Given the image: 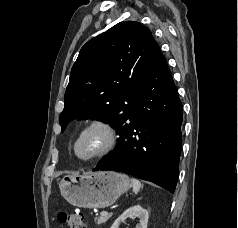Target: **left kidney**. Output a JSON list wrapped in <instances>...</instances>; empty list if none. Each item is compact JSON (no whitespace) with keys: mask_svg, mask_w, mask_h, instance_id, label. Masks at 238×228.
I'll list each match as a JSON object with an SVG mask.
<instances>
[{"mask_svg":"<svg viewBox=\"0 0 238 228\" xmlns=\"http://www.w3.org/2000/svg\"><path fill=\"white\" fill-rule=\"evenodd\" d=\"M129 217L139 219V224L136 226V228H147V223L149 218L148 211L143 209L140 205L130 207L129 209L124 211V213H122L115 220L111 228H119L120 224Z\"/></svg>","mask_w":238,"mask_h":228,"instance_id":"left-kidney-1","label":"left kidney"}]
</instances>
